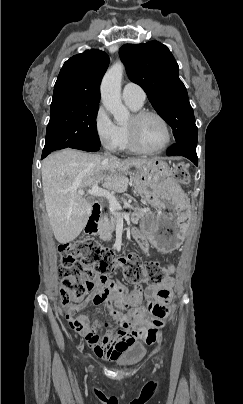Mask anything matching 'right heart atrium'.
Listing matches in <instances>:
<instances>
[{
    "mask_svg": "<svg viewBox=\"0 0 243 404\" xmlns=\"http://www.w3.org/2000/svg\"><path fill=\"white\" fill-rule=\"evenodd\" d=\"M93 127L96 138L103 148L115 153L121 151L122 138L119 127L102 104L94 112Z\"/></svg>",
    "mask_w": 243,
    "mask_h": 404,
    "instance_id": "1",
    "label": "right heart atrium"
}]
</instances>
